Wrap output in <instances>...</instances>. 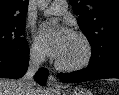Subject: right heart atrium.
<instances>
[{
  "label": "right heart atrium",
  "instance_id": "d8ad5b80",
  "mask_svg": "<svg viewBox=\"0 0 119 95\" xmlns=\"http://www.w3.org/2000/svg\"><path fill=\"white\" fill-rule=\"evenodd\" d=\"M30 56L36 62H40L45 58L43 50L36 43L32 44Z\"/></svg>",
  "mask_w": 119,
  "mask_h": 95
}]
</instances>
